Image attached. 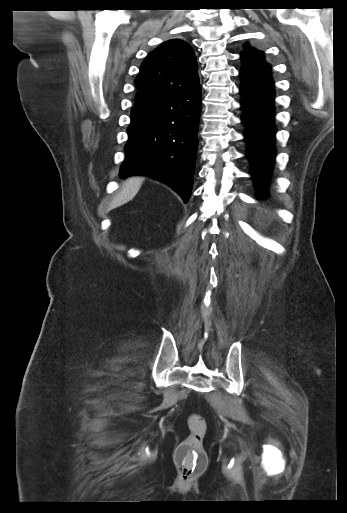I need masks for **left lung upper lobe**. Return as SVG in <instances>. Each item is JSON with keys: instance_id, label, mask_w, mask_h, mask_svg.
Wrapping results in <instances>:
<instances>
[{"instance_id": "5c2ea615", "label": "left lung upper lobe", "mask_w": 347, "mask_h": 513, "mask_svg": "<svg viewBox=\"0 0 347 513\" xmlns=\"http://www.w3.org/2000/svg\"><path fill=\"white\" fill-rule=\"evenodd\" d=\"M245 51L241 52L242 57H257L260 59H263V53L261 51H258L252 47H249L248 45H245Z\"/></svg>"}]
</instances>
